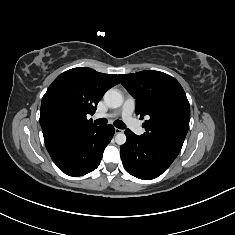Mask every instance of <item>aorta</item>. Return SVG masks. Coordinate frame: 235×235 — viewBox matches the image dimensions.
Listing matches in <instances>:
<instances>
[{"mask_svg": "<svg viewBox=\"0 0 235 235\" xmlns=\"http://www.w3.org/2000/svg\"><path fill=\"white\" fill-rule=\"evenodd\" d=\"M104 102L110 108H118L123 103V97L121 93L116 89L108 90L104 95ZM115 142L118 145H123L126 142V135L124 133H118L115 136Z\"/></svg>", "mask_w": 235, "mask_h": 235, "instance_id": "1", "label": "aorta"}]
</instances>
